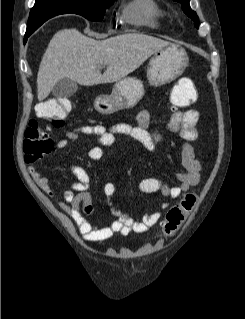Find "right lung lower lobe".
I'll use <instances>...</instances> for the list:
<instances>
[{
    "label": "right lung lower lobe",
    "mask_w": 245,
    "mask_h": 319,
    "mask_svg": "<svg viewBox=\"0 0 245 319\" xmlns=\"http://www.w3.org/2000/svg\"><path fill=\"white\" fill-rule=\"evenodd\" d=\"M31 35V33L26 32L24 42H26L27 38Z\"/></svg>",
    "instance_id": "right-lung-lower-lobe-1"
}]
</instances>
